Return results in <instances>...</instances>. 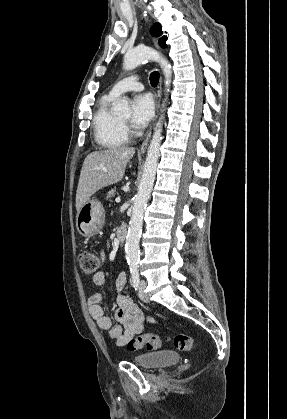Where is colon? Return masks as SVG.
<instances>
[{
    "label": "colon",
    "mask_w": 287,
    "mask_h": 419,
    "mask_svg": "<svg viewBox=\"0 0 287 419\" xmlns=\"http://www.w3.org/2000/svg\"><path fill=\"white\" fill-rule=\"evenodd\" d=\"M81 271L86 276L95 274L100 267V259L90 250H82L78 256ZM175 347L182 352H189L193 348V340L189 335L176 334L172 338ZM162 345V339L156 334H147L131 338L126 344L127 349L138 351L142 348L157 350Z\"/></svg>",
    "instance_id": "colon-1"
}]
</instances>
